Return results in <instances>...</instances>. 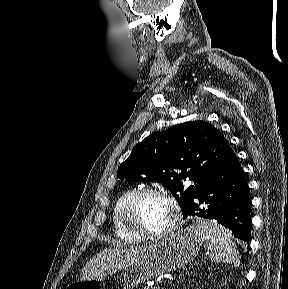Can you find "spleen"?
<instances>
[{
  "label": "spleen",
  "instance_id": "spleen-1",
  "mask_svg": "<svg viewBox=\"0 0 288 289\" xmlns=\"http://www.w3.org/2000/svg\"><path fill=\"white\" fill-rule=\"evenodd\" d=\"M194 232L205 242L210 250V258L215 262L240 264V256L236 244L232 241L229 231L212 220L198 219L192 225Z\"/></svg>",
  "mask_w": 288,
  "mask_h": 289
}]
</instances>
